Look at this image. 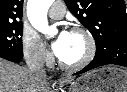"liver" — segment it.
Instances as JSON below:
<instances>
[{
  "mask_svg": "<svg viewBox=\"0 0 127 92\" xmlns=\"http://www.w3.org/2000/svg\"><path fill=\"white\" fill-rule=\"evenodd\" d=\"M72 78L60 81L70 83ZM0 92H52L46 79H38L29 69L0 58Z\"/></svg>",
  "mask_w": 127,
  "mask_h": 92,
  "instance_id": "obj_1",
  "label": "liver"
}]
</instances>
